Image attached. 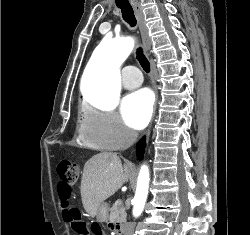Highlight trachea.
Masks as SVG:
<instances>
[{
	"label": "trachea",
	"mask_w": 250,
	"mask_h": 235,
	"mask_svg": "<svg viewBox=\"0 0 250 235\" xmlns=\"http://www.w3.org/2000/svg\"><path fill=\"white\" fill-rule=\"evenodd\" d=\"M118 8L121 9L122 17L123 19L132 27L136 25V19L134 16L133 9L130 5L127 6H120L118 5ZM137 59L140 62V65L142 66L143 70L147 73L150 72V63L147 60V58L143 54V50L141 47L137 49Z\"/></svg>",
	"instance_id": "1"
}]
</instances>
